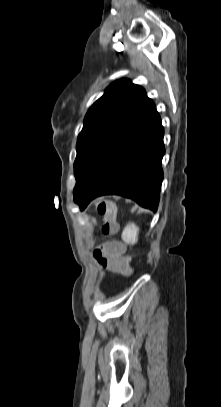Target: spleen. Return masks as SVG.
<instances>
[{
	"instance_id": "1",
	"label": "spleen",
	"mask_w": 221,
	"mask_h": 407,
	"mask_svg": "<svg viewBox=\"0 0 221 407\" xmlns=\"http://www.w3.org/2000/svg\"><path fill=\"white\" fill-rule=\"evenodd\" d=\"M139 228L134 223H129L122 232L124 242L134 245L138 241Z\"/></svg>"
}]
</instances>
